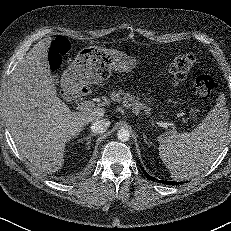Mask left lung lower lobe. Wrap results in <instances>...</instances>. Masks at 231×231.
Here are the masks:
<instances>
[{
  "label": "left lung lower lobe",
  "mask_w": 231,
  "mask_h": 231,
  "mask_svg": "<svg viewBox=\"0 0 231 231\" xmlns=\"http://www.w3.org/2000/svg\"><path fill=\"white\" fill-rule=\"evenodd\" d=\"M143 172H145V170H143V168H141ZM146 177L151 179V180H156L155 178L151 177L148 173H146ZM158 182L164 183V184H172V185H178L180 184L179 182H174V181H163V180H158Z\"/></svg>",
  "instance_id": "1"
}]
</instances>
